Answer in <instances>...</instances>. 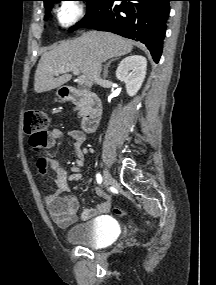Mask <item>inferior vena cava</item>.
<instances>
[{"instance_id": "602c4592", "label": "inferior vena cava", "mask_w": 216, "mask_h": 285, "mask_svg": "<svg viewBox=\"0 0 216 285\" xmlns=\"http://www.w3.org/2000/svg\"><path fill=\"white\" fill-rule=\"evenodd\" d=\"M93 72H94V80L96 83H100L101 82V63L99 61H96L94 63V67H93Z\"/></svg>"}]
</instances>
